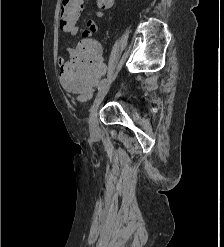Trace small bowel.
Instances as JSON below:
<instances>
[{
	"label": "small bowel",
	"instance_id": "c3829d8e",
	"mask_svg": "<svg viewBox=\"0 0 224 247\" xmlns=\"http://www.w3.org/2000/svg\"><path fill=\"white\" fill-rule=\"evenodd\" d=\"M83 1V0H82ZM103 12L102 11H96V16L101 18L103 17ZM86 30H84L83 32V38L84 40H87V39H92V35L94 33H96L98 31V27L96 26V24L93 22V21H89L86 25ZM79 31V28L77 25L71 27L69 30H67L66 32L69 33L70 35H76ZM83 40V41H84ZM63 59L62 58H59V63H63Z\"/></svg>",
	"mask_w": 224,
	"mask_h": 247
}]
</instances>
